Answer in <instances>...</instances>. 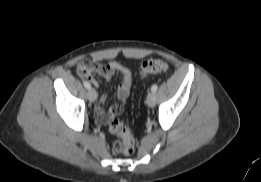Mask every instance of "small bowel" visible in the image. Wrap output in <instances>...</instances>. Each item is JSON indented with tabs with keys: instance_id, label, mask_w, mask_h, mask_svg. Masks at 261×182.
Returning a JSON list of instances; mask_svg holds the SVG:
<instances>
[{
	"instance_id": "1",
	"label": "small bowel",
	"mask_w": 261,
	"mask_h": 182,
	"mask_svg": "<svg viewBox=\"0 0 261 182\" xmlns=\"http://www.w3.org/2000/svg\"><path fill=\"white\" fill-rule=\"evenodd\" d=\"M79 65H86L89 69L88 75H81L82 78L89 80L96 88L100 86L99 77L105 80H112L115 77L120 78V85L117 90L118 103L113 105L107 112L104 104L107 99V93H103L95 105L97 119L102 123H107L124 111L132 85L133 76L131 71L116 61H109L105 64L94 60H83Z\"/></svg>"
}]
</instances>
